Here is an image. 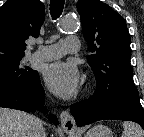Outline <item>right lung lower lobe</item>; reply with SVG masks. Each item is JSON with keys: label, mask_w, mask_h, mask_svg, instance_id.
Returning <instances> with one entry per match:
<instances>
[{"label": "right lung lower lobe", "mask_w": 144, "mask_h": 137, "mask_svg": "<svg viewBox=\"0 0 144 137\" xmlns=\"http://www.w3.org/2000/svg\"><path fill=\"white\" fill-rule=\"evenodd\" d=\"M45 92L40 80L30 89H23L15 86L0 87V107L34 112L37 109L45 111L44 107ZM53 123L58 120L54 115H49Z\"/></svg>", "instance_id": "obj_1"}]
</instances>
